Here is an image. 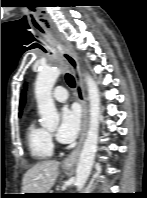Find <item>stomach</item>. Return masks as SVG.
Returning a JSON list of instances; mask_svg holds the SVG:
<instances>
[{
  "label": "stomach",
  "mask_w": 147,
  "mask_h": 198,
  "mask_svg": "<svg viewBox=\"0 0 147 198\" xmlns=\"http://www.w3.org/2000/svg\"><path fill=\"white\" fill-rule=\"evenodd\" d=\"M65 169H66V170H70L71 168H70V167H65Z\"/></svg>",
  "instance_id": "stomach-1"
}]
</instances>
